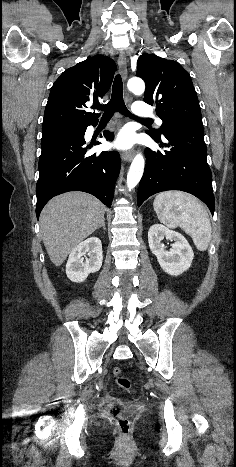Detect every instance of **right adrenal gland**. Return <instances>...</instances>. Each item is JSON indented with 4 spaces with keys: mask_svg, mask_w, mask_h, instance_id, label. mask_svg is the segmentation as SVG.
Returning <instances> with one entry per match:
<instances>
[{
    "mask_svg": "<svg viewBox=\"0 0 236 467\" xmlns=\"http://www.w3.org/2000/svg\"><path fill=\"white\" fill-rule=\"evenodd\" d=\"M101 227L103 228V230H106L105 219H103L102 224H101V226L99 228H101Z\"/></svg>",
    "mask_w": 236,
    "mask_h": 467,
    "instance_id": "right-adrenal-gland-1",
    "label": "right adrenal gland"
}]
</instances>
